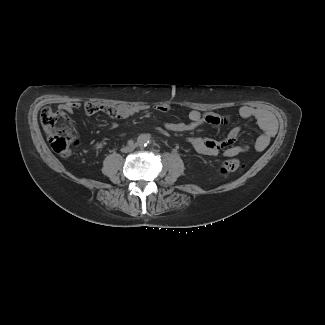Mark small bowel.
<instances>
[{"mask_svg": "<svg viewBox=\"0 0 325 325\" xmlns=\"http://www.w3.org/2000/svg\"><path fill=\"white\" fill-rule=\"evenodd\" d=\"M79 103H61L58 105L57 110L59 113L64 114L65 121L70 122L73 120L74 115L72 111L79 108ZM104 110L112 119L122 120L130 118L145 110L144 106H101L94 103H87L85 105V111L87 114H94L99 110ZM171 106L167 103H160L155 106V110L159 113H169ZM189 122H164L163 127L165 130L175 133L189 132L204 124H210L215 126L228 125L231 122V118L228 116H220L214 113H202L198 110H190L186 113ZM238 115L244 119H253L259 125L262 133L255 139L253 143V149L257 152L263 151L268 145L275 134L276 125L273 116L262 108L243 105L238 109ZM110 128L114 131L118 130V124L116 122L110 123ZM240 128H232L222 138H204L194 136L188 139L191 146L199 153L204 154H219L222 153L225 156H236L247 151V147L237 144V140L240 136ZM119 137H124V134L118 133Z\"/></svg>", "mask_w": 325, "mask_h": 325, "instance_id": "small-bowel-1", "label": "small bowel"}]
</instances>
